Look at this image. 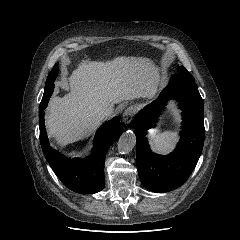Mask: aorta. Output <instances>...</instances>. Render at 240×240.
<instances>
[{"mask_svg": "<svg viewBox=\"0 0 240 240\" xmlns=\"http://www.w3.org/2000/svg\"><path fill=\"white\" fill-rule=\"evenodd\" d=\"M136 137L132 131L124 132L118 140L117 148L120 153L127 154L134 148Z\"/></svg>", "mask_w": 240, "mask_h": 240, "instance_id": "1", "label": "aorta"}]
</instances>
